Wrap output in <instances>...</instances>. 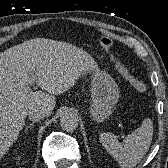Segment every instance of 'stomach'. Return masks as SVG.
<instances>
[{
	"instance_id": "0dacf381",
	"label": "stomach",
	"mask_w": 168,
	"mask_h": 168,
	"mask_svg": "<svg viewBox=\"0 0 168 168\" xmlns=\"http://www.w3.org/2000/svg\"><path fill=\"white\" fill-rule=\"evenodd\" d=\"M90 114L97 122H103L112 113L119 98V89L114 79L100 70L91 71Z\"/></svg>"
}]
</instances>
